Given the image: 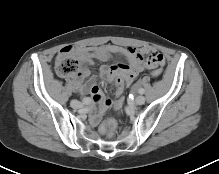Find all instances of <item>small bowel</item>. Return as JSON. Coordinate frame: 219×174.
<instances>
[{
	"instance_id": "small-bowel-1",
	"label": "small bowel",
	"mask_w": 219,
	"mask_h": 174,
	"mask_svg": "<svg viewBox=\"0 0 219 174\" xmlns=\"http://www.w3.org/2000/svg\"><path fill=\"white\" fill-rule=\"evenodd\" d=\"M69 52L75 54L81 64L79 72L70 79L75 90L80 94L90 93L92 100L99 104L98 110L91 115L93 124H97L106 109L114 105V100L112 98L105 99L94 78L84 82V79L90 75L87 65L93 64L95 59L107 61L113 54L123 56L127 60V64L103 65L100 68V76L105 81L115 82L119 90H124L134 82L144 68L152 71L157 65H164L165 62L161 52L148 47L134 48L106 44L71 48Z\"/></svg>"
}]
</instances>
